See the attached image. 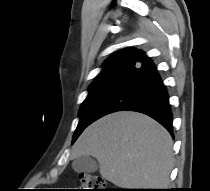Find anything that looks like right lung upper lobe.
Here are the masks:
<instances>
[{
  "mask_svg": "<svg viewBox=\"0 0 210 191\" xmlns=\"http://www.w3.org/2000/svg\"><path fill=\"white\" fill-rule=\"evenodd\" d=\"M136 52H137V50H135L133 48H124V49H121V50L115 52L109 60L116 58V57H120V56H129L132 58Z\"/></svg>",
  "mask_w": 210,
  "mask_h": 191,
  "instance_id": "obj_1",
  "label": "right lung upper lobe"
}]
</instances>
